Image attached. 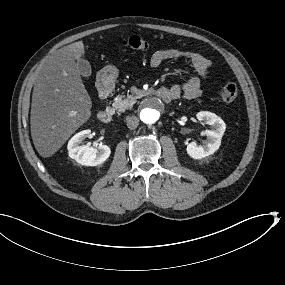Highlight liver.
I'll return each mask as SVG.
<instances>
[{"instance_id":"6515ba94","label":"liver","mask_w":285,"mask_h":285,"mask_svg":"<svg viewBox=\"0 0 285 285\" xmlns=\"http://www.w3.org/2000/svg\"><path fill=\"white\" fill-rule=\"evenodd\" d=\"M84 55L83 41L57 50L35 84L30 128L34 147L43 158L55 155L92 117V99L76 63Z\"/></svg>"}]
</instances>
